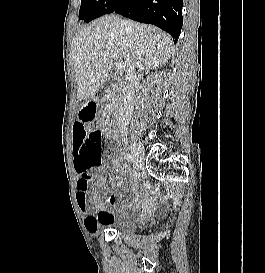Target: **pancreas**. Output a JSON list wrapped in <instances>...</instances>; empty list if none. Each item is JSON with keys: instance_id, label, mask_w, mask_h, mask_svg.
Here are the masks:
<instances>
[{"instance_id": "pancreas-1", "label": "pancreas", "mask_w": 265, "mask_h": 273, "mask_svg": "<svg viewBox=\"0 0 265 273\" xmlns=\"http://www.w3.org/2000/svg\"><path fill=\"white\" fill-rule=\"evenodd\" d=\"M108 96H109V98L107 99V102H106V109L112 111L116 107L115 92L114 91H109Z\"/></svg>"}]
</instances>
